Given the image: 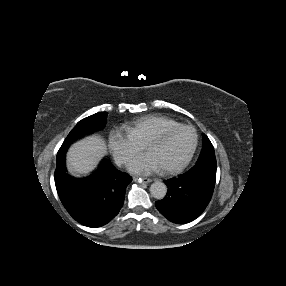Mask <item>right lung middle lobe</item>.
Returning a JSON list of instances; mask_svg holds the SVG:
<instances>
[{
  "label": "right lung middle lobe",
  "instance_id": "right-lung-middle-lobe-1",
  "mask_svg": "<svg viewBox=\"0 0 286 286\" xmlns=\"http://www.w3.org/2000/svg\"><path fill=\"white\" fill-rule=\"evenodd\" d=\"M107 114V112H99L79 121L61 147L66 149L71 142L79 137L103 128L106 124Z\"/></svg>",
  "mask_w": 286,
  "mask_h": 286
}]
</instances>
